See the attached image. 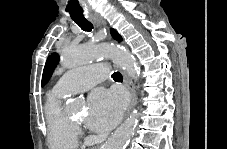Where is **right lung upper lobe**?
Here are the masks:
<instances>
[{
  "mask_svg": "<svg viewBox=\"0 0 227 149\" xmlns=\"http://www.w3.org/2000/svg\"><path fill=\"white\" fill-rule=\"evenodd\" d=\"M111 35L113 36V38L117 41H121L122 38L121 36L118 34V32L114 29H110Z\"/></svg>",
  "mask_w": 227,
  "mask_h": 149,
  "instance_id": "cb5924a9",
  "label": "right lung upper lobe"
}]
</instances>
